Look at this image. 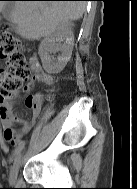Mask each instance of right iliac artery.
<instances>
[{
    "instance_id": "1",
    "label": "right iliac artery",
    "mask_w": 137,
    "mask_h": 189,
    "mask_svg": "<svg viewBox=\"0 0 137 189\" xmlns=\"http://www.w3.org/2000/svg\"><path fill=\"white\" fill-rule=\"evenodd\" d=\"M24 148V144L20 145L19 147L15 148L13 151V154L11 156V160H13L14 157L20 154L21 150Z\"/></svg>"
}]
</instances>
